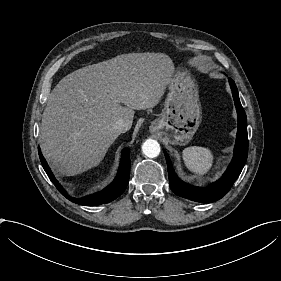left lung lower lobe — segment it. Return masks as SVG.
I'll use <instances>...</instances> for the list:
<instances>
[{
  "label": "left lung lower lobe",
  "mask_w": 281,
  "mask_h": 281,
  "mask_svg": "<svg viewBox=\"0 0 281 281\" xmlns=\"http://www.w3.org/2000/svg\"><path fill=\"white\" fill-rule=\"evenodd\" d=\"M229 79L235 106L238 114V132L234 148V156L228 169L221 179L212 183L209 187L200 188L181 181L175 174L169 156L164 151L170 187L175 194L189 200L200 203H211L221 199L230 190L240 175L248 156L247 118L241 105L235 82Z\"/></svg>",
  "instance_id": "left-lung-lower-lobe-1"
}]
</instances>
